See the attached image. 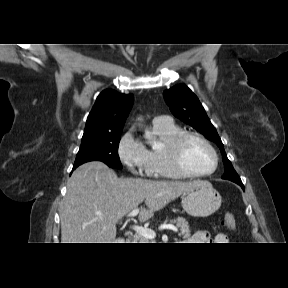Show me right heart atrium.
<instances>
[{"label": "right heart atrium", "mask_w": 288, "mask_h": 288, "mask_svg": "<svg viewBox=\"0 0 288 288\" xmlns=\"http://www.w3.org/2000/svg\"><path fill=\"white\" fill-rule=\"evenodd\" d=\"M117 153L121 163L135 175L152 176L148 169V150L131 130L120 138Z\"/></svg>", "instance_id": "1"}]
</instances>
